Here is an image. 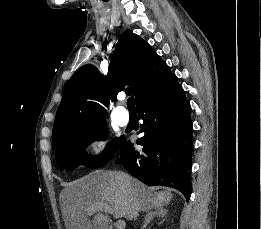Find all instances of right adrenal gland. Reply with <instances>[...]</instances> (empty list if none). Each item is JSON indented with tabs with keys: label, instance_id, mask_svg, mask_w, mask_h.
Wrapping results in <instances>:
<instances>
[{
	"label": "right adrenal gland",
	"instance_id": "obj_1",
	"mask_svg": "<svg viewBox=\"0 0 261 229\" xmlns=\"http://www.w3.org/2000/svg\"><path fill=\"white\" fill-rule=\"evenodd\" d=\"M154 211H146L145 215V221L142 229H146L147 225L151 223L152 219H155V217H165V215H168L166 209H163V207H152Z\"/></svg>",
	"mask_w": 261,
	"mask_h": 229
}]
</instances>
